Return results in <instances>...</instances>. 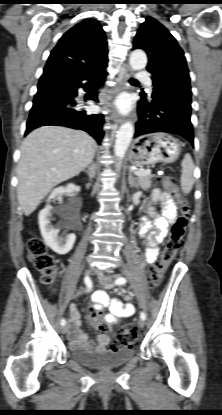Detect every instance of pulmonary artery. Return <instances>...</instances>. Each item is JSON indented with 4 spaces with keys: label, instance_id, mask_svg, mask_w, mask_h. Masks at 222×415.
<instances>
[{
    "label": "pulmonary artery",
    "instance_id": "e3ab8cb5",
    "mask_svg": "<svg viewBox=\"0 0 222 415\" xmlns=\"http://www.w3.org/2000/svg\"><path fill=\"white\" fill-rule=\"evenodd\" d=\"M136 78L137 80L144 82L145 84H147L149 87L152 86V82L150 79V75L147 71H138L136 73Z\"/></svg>",
    "mask_w": 222,
    "mask_h": 415
}]
</instances>
